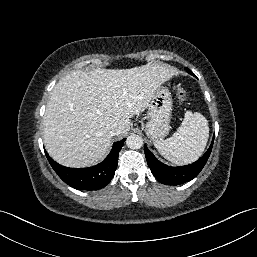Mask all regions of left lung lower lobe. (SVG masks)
<instances>
[{
  "instance_id": "left-lung-lower-lobe-1",
  "label": "left lung lower lobe",
  "mask_w": 257,
  "mask_h": 257,
  "mask_svg": "<svg viewBox=\"0 0 257 257\" xmlns=\"http://www.w3.org/2000/svg\"><path fill=\"white\" fill-rule=\"evenodd\" d=\"M189 74L194 75L192 72ZM214 137L209 149L200 159L192 164L182 167H171L163 164L153 155L152 152L148 150L146 146H144L147 163L152 174L159 182L166 185H179L192 180L205 166L212 151Z\"/></svg>"
}]
</instances>
